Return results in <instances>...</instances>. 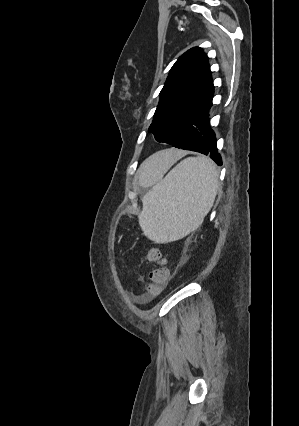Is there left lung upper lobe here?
Instances as JSON below:
<instances>
[{
  "mask_svg": "<svg viewBox=\"0 0 299 426\" xmlns=\"http://www.w3.org/2000/svg\"><path fill=\"white\" fill-rule=\"evenodd\" d=\"M208 57L201 48L185 52L171 68L148 132L158 142L171 144L213 97Z\"/></svg>",
  "mask_w": 299,
  "mask_h": 426,
  "instance_id": "obj_1",
  "label": "left lung upper lobe"
}]
</instances>
